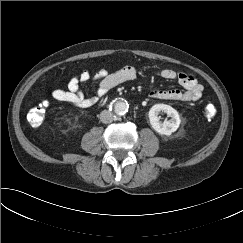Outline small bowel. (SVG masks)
I'll return each instance as SVG.
<instances>
[{
	"label": "small bowel",
	"instance_id": "1",
	"mask_svg": "<svg viewBox=\"0 0 243 243\" xmlns=\"http://www.w3.org/2000/svg\"><path fill=\"white\" fill-rule=\"evenodd\" d=\"M137 74L138 69L134 66H125L112 73H108L106 70H100L93 77L90 76L88 71L83 70L69 80L66 89H56L52 92V96L57 101L78 108H89L94 106L100 97L107 94L114 87L124 82L134 80L137 77ZM159 74L166 80H178L179 84L185 90L155 89L149 93V98L179 102H194L201 97L203 86L194 76L183 72H177L169 68L161 70ZM89 81H98L99 87L95 96L85 97L80 90V85Z\"/></svg>",
	"mask_w": 243,
	"mask_h": 243
}]
</instances>
